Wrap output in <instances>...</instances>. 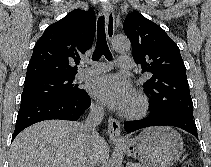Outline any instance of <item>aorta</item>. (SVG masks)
<instances>
[{
    "instance_id": "obj_1",
    "label": "aorta",
    "mask_w": 211,
    "mask_h": 167,
    "mask_svg": "<svg viewBox=\"0 0 211 167\" xmlns=\"http://www.w3.org/2000/svg\"><path fill=\"white\" fill-rule=\"evenodd\" d=\"M112 46L117 52H127L131 48L129 40L125 37L115 38L113 40ZM121 163V157L117 155L114 157L113 162L111 163V167H121Z\"/></svg>"
}]
</instances>
